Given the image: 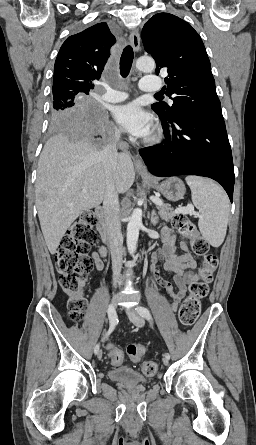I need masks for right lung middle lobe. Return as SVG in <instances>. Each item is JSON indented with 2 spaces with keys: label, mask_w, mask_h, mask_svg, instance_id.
I'll return each instance as SVG.
<instances>
[{
  "label": "right lung middle lobe",
  "mask_w": 256,
  "mask_h": 445,
  "mask_svg": "<svg viewBox=\"0 0 256 445\" xmlns=\"http://www.w3.org/2000/svg\"><path fill=\"white\" fill-rule=\"evenodd\" d=\"M85 94L75 91H67L58 95L53 94L52 129H71V126L79 121L84 104L87 101Z\"/></svg>",
  "instance_id": "1"
}]
</instances>
